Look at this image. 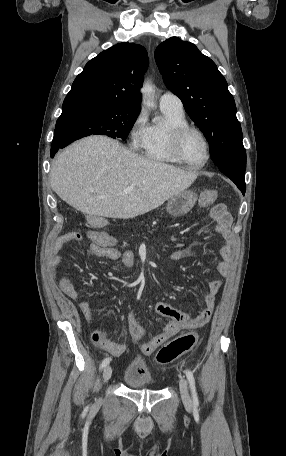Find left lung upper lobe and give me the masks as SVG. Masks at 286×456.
<instances>
[{
    "label": "left lung upper lobe",
    "instance_id": "1",
    "mask_svg": "<svg viewBox=\"0 0 286 456\" xmlns=\"http://www.w3.org/2000/svg\"><path fill=\"white\" fill-rule=\"evenodd\" d=\"M155 60L165 85L181 99L205 135L214 163L246 167L235 101L215 63L178 37L162 42L155 50Z\"/></svg>",
    "mask_w": 286,
    "mask_h": 456
}]
</instances>
